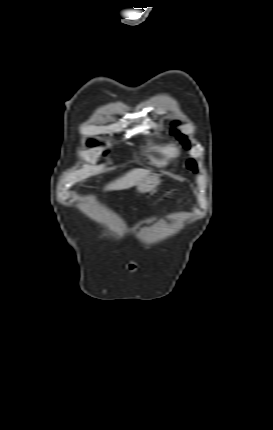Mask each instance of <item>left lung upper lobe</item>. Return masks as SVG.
Instances as JSON below:
<instances>
[{
    "label": "left lung upper lobe",
    "mask_w": 273,
    "mask_h": 430,
    "mask_svg": "<svg viewBox=\"0 0 273 430\" xmlns=\"http://www.w3.org/2000/svg\"><path fill=\"white\" fill-rule=\"evenodd\" d=\"M171 133L174 134V135H176V137L181 141V143L183 144V146L185 148L189 149V144H188V140H187L186 136H184L183 134H180L178 131H172ZM187 167L190 170H192L194 172H197V165H196V163L194 162L193 159H190L187 162Z\"/></svg>",
    "instance_id": "left-lung-upper-lobe-1"
}]
</instances>
